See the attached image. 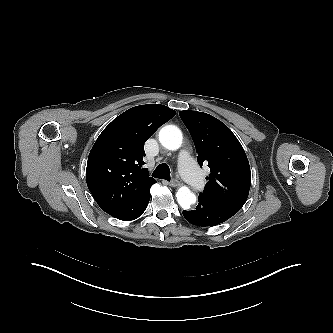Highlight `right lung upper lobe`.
I'll return each instance as SVG.
<instances>
[{
    "instance_id": "1",
    "label": "right lung upper lobe",
    "mask_w": 333,
    "mask_h": 333,
    "mask_svg": "<svg viewBox=\"0 0 333 333\" xmlns=\"http://www.w3.org/2000/svg\"><path fill=\"white\" fill-rule=\"evenodd\" d=\"M176 112L164 105L135 106L116 117L99 135L86 168L87 186L109 215L125 214L156 180L149 177L144 143Z\"/></svg>"
}]
</instances>
